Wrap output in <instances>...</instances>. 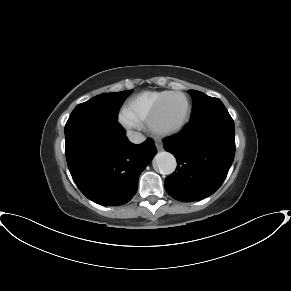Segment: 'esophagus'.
<instances>
[{"instance_id":"34e87169","label":"esophagus","mask_w":291,"mask_h":291,"mask_svg":"<svg viewBox=\"0 0 291 291\" xmlns=\"http://www.w3.org/2000/svg\"><path fill=\"white\" fill-rule=\"evenodd\" d=\"M155 146H156L157 150H159V151L163 150V145L160 142L157 141L155 143Z\"/></svg>"}]
</instances>
